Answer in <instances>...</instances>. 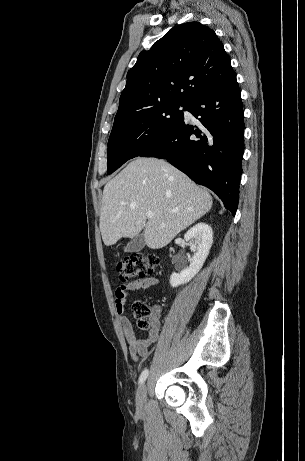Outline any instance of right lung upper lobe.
I'll return each mask as SVG.
<instances>
[{"mask_svg":"<svg viewBox=\"0 0 305 461\" xmlns=\"http://www.w3.org/2000/svg\"><path fill=\"white\" fill-rule=\"evenodd\" d=\"M234 73L213 30L199 22L178 25L139 54L127 73L114 123L163 104H189Z\"/></svg>","mask_w":305,"mask_h":461,"instance_id":"obj_1","label":"right lung upper lobe"}]
</instances>
